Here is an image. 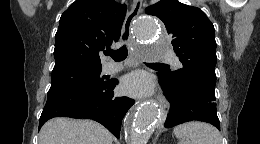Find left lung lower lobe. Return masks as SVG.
I'll list each match as a JSON object with an SVG mask.
<instances>
[{"mask_svg":"<svg viewBox=\"0 0 260 144\" xmlns=\"http://www.w3.org/2000/svg\"><path fill=\"white\" fill-rule=\"evenodd\" d=\"M157 75L164 95L170 103L165 128L189 121H204L220 129L214 89L193 79L174 85L163 73Z\"/></svg>","mask_w":260,"mask_h":144,"instance_id":"left-lung-lower-lobe-1","label":"left lung lower lobe"}]
</instances>
